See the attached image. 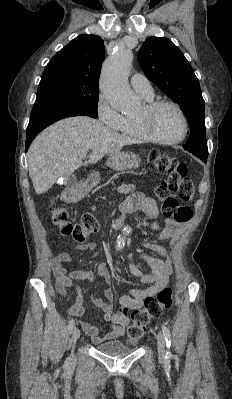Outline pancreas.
<instances>
[{
	"instance_id": "obj_1",
	"label": "pancreas",
	"mask_w": 232,
	"mask_h": 399,
	"mask_svg": "<svg viewBox=\"0 0 232 399\" xmlns=\"http://www.w3.org/2000/svg\"><path fill=\"white\" fill-rule=\"evenodd\" d=\"M136 186L134 184H122V186H118V188H114V190H117L118 194H130V192H134Z\"/></svg>"
}]
</instances>
